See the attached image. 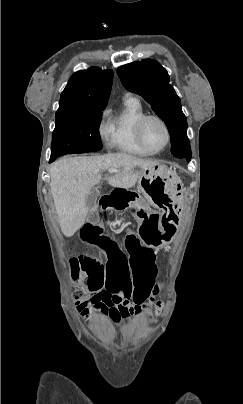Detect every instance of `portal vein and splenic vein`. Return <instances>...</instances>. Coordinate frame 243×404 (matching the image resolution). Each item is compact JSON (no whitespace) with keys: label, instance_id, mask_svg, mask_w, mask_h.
Here are the masks:
<instances>
[{"label":"portal vein and splenic vein","instance_id":"18ae733b","mask_svg":"<svg viewBox=\"0 0 243 404\" xmlns=\"http://www.w3.org/2000/svg\"><path fill=\"white\" fill-rule=\"evenodd\" d=\"M114 172H117V170H109V174H114Z\"/></svg>","mask_w":243,"mask_h":404}]
</instances>
